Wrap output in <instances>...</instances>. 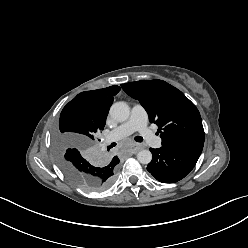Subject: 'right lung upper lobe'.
Instances as JSON below:
<instances>
[{"label": "right lung upper lobe", "mask_w": 248, "mask_h": 248, "mask_svg": "<svg viewBox=\"0 0 248 248\" xmlns=\"http://www.w3.org/2000/svg\"><path fill=\"white\" fill-rule=\"evenodd\" d=\"M121 90L119 86H110L103 89L85 91L78 94L73 100H81L84 102L85 108L92 116L106 124V118L113 102V97ZM112 163H119V159L115 156Z\"/></svg>", "instance_id": "1"}]
</instances>
